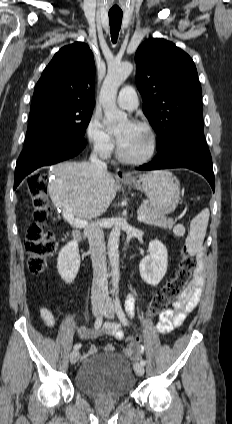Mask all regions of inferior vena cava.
<instances>
[{
  "instance_id": "obj_1",
  "label": "inferior vena cava",
  "mask_w": 232,
  "mask_h": 424,
  "mask_svg": "<svg viewBox=\"0 0 232 424\" xmlns=\"http://www.w3.org/2000/svg\"><path fill=\"white\" fill-rule=\"evenodd\" d=\"M89 161L99 173L104 174L107 172V165L98 159L96 149L91 153ZM84 234L88 237L93 266L91 301L92 304L103 303L108 299V274L104 233L100 222L98 220L91 222L85 228Z\"/></svg>"
}]
</instances>
